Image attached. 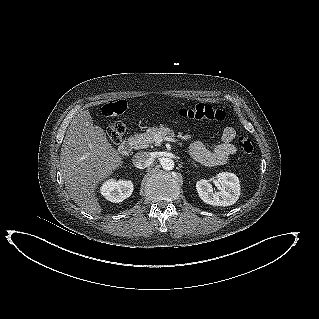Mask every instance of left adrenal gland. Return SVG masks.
Wrapping results in <instances>:
<instances>
[{
    "label": "left adrenal gland",
    "instance_id": "obj_1",
    "mask_svg": "<svg viewBox=\"0 0 319 319\" xmlns=\"http://www.w3.org/2000/svg\"><path fill=\"white\" fill-rule=\"evenodd\" d=\"M192 164L196 167V164L194 162H192Z\"/></svg>",
    "mask_w": 319,
    "mask_h": 319
}]
</instances>
